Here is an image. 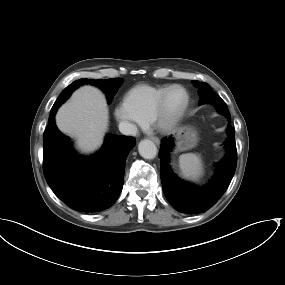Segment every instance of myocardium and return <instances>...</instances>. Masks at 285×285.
<instances>
[{
  "mask_svg": "<svg viewBox=\"0 0 285 285\" xmlns=\"http://www.w3.org/2000/svg\"><path fill=\"white\" fill-rule=\"evenodd\" d=\"M175 89H180L184 92L185 102L177 112L169 114L168 99L170 93ZM189 106H190V94L188 90L182 85L178 84L171 85L165 90L163 96L161 97L160 101L155 107L153 114L149 120V124L159 132L171 133L181 123Z\"/></svg>",
  "mask_w": 285,
  "mask_h": 285,
  "instance_id": "f54148a6",
  "label": "myocardium"
}]
</instances>
